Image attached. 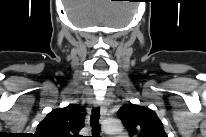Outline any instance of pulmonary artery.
<instances>
[{"label":"pulmonary artery","mask_w":206,"mask_h":137,"mask_svg":"<svg viewBox=\"0 0 206 137\" xmlns=\"http://www.w3.org/2000/svg\"><path fill=\"white\" fill-rule=\"evenodd\" d=\"M117 137H126V136H124V135L120 134V135H118Z\"/></svg>","instance_id":"1"}]
</instances>
